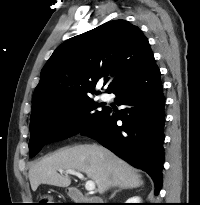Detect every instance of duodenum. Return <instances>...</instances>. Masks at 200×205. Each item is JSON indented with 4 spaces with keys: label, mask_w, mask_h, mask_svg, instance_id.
Listing matches in <instances>:
<instances>
[{
    "label": "duodenum",
    "mask_w": 200,
    "mask_h": 205,
    "mask_svg": "<svg viewBox=\"0 0 200 205\" xmlns=\"http://www.w3.org/2000/svg\"><path fill=\"white\" fill-rule=\"evenodd\" d=\"M68 194L73 201L81 204H94L95 202L99 201L98 198H90L85 196L79 189L74 187L69 188Z\"/></svg>",
    "instance_id": "1"
}]
</instances>
